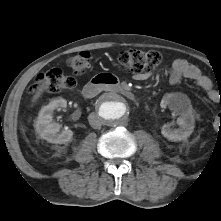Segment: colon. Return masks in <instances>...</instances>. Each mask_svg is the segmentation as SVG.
I'll return each mask as SVG.
<instances>
[{"mask_svg":"<svg viewBox=\"0 0 221 221\" xmlns=\"http://www.w3.org/2000/svg\"><path fill=\"white\" fill-rule=\"evenodd\" d=\"M118 60L129 72L149 74L162 64L164 57L157 51L127 50L119 54ZM90 64L91 54L88 51L79 52L67 60V66L75 76L85 74ZM75 85L76 80L73 76L64 74L60 69H52L39 75L29 86L28 91L35 93L46 89L50 92H62L74 88Z\"/></svg>","mask_w":221,"mask_h":221,"instance_id":"colon-1","label":"colon"}]
</instances>
